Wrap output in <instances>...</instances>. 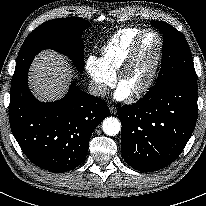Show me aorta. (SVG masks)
<instances>
[{"label":"aorta","instance_id":"obj_1","mask_svg":"<svg viewBox=\"0 0 206 206\" xmlns=\"http://www.w3.org/2000/svg\"><path fill=\"white\" fill-rule=\"evenodd\" d=\"M103 131L108 136H115L121 130V123L115 117H107L102 123Z\"/></svg>","mask_w":206,"mask_h":206}]
</instances>
